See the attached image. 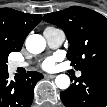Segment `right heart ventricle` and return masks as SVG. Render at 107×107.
<instances>
[{"mask_svg": "<svg viewBox=\"0 0 107 107\" xmlns=\"http://www.w3.org/2000/svg\"><path fill=\"white\" fill-rule=\"evenodd\" d=\"M46 29H55V28H53V27H47Z\"/></svg>", "mask_w": 107, "mask_h": 107, "instance_id": "e07e8e85", "label": "right heart ventricle"}]
</instances>
